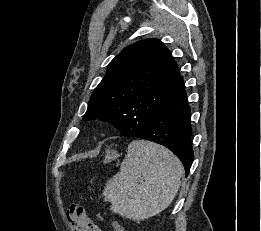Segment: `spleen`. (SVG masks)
<instances>
[{"label":"spleen","mask_w":261,"mask_h":231,"mask_svg":"<svg viewBox=\"0 0 261 231\" xmlns=\"http://www.w3.org/2000/svg\"><path fill=\"white\" fill-rule=\"evenodd\" d=\"M182 171L181 162L166 148L134 140L128 145L120 172L106 184L103 195L114 213L144 220L170 205L178 192Z\"/></svg>","instance_id":"obj_1"}]
</instances>
